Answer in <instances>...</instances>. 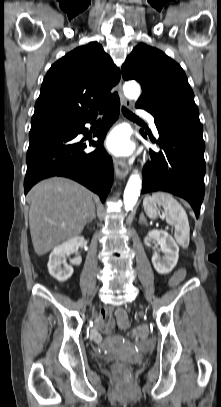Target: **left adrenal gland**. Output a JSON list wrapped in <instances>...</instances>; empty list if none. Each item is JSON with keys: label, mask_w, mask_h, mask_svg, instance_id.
<instances>
[{"label": "left adrenal gland", "mask_w": 221, "mask_h": 407, "mask_svg": "<svg viewBox=\"0 0 221 407\" xmlns=\"http://www.w3.org/2000/svg\"><path fill=\"white\" fill-rule=\"evenodd\" d=\"M139 223H143V224L147 225V220H146V218L144 217V214H143V213L140 214Z\"/></svg>", "instance_id": "left-adrenal-gland-1"}]
</instances>
